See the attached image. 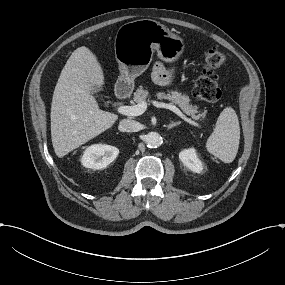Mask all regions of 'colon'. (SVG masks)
<instances>
[{"instance_id": "1", "label": "colon", "mask_w": 285, "mask_h": 285, "mask_svg": "<svg viewBox=\"0 0 285 285\" xmlns=\"http://www.w3.org/2000/svg\"><path fill=\"white\" fill-rule=\"evenodd\" d=\"M226 62V55L217 48H210L204 53V66L194 81L193 93L196 98L208 103H218L222 92L214 71Z\"/></svg>"}]
</instances>
